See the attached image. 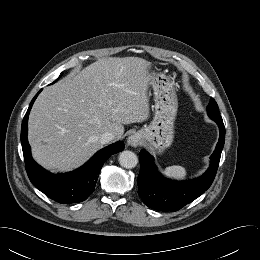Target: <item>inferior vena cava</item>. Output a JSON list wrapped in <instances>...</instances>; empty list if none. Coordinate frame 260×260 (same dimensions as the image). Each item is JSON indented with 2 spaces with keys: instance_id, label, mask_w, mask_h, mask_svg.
<instances>
[{
  "instance_id": "obj_1",
  "label": "inferior vena cava",
  "mask_w": 260,
  "mask_h": 260,
  "mask_svg": "<svg viewBox=\"0 0 260 260\" xmlns=\"http://www.w3.org/2000/svg\"><path fill=\"white\" fill-rule=\"evenodd\" d=\"M115 138L114 134L111 132H105L100 136V143L103 144H107L110 141H112Z\"/></svg>"
}]
</instances>
